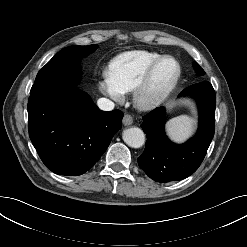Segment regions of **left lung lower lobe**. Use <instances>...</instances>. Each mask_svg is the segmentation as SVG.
Wrapping results in <instances>:
<instances>
[{"label": "left lung lower lobe", "mask_w": 247, "mask_h": 247, "mask_svg": "<svg viewBox=\"0 0 247 247\" xmlns=\"http://www.w3.org/2000/svg\"><path fill=\"white\" fill-rule=\"evenodd\" d=\"M180 95L195 98L199 110L196 135L186 143H172L164 132L165 109L159 107L143 117L147 143L138 158L139 167L156 182L179 181L193 174L203 161L214 136L216 96L205 81L185 88Z\"/></svg>", "instance_id": "0a47b994"}]
</instances>
